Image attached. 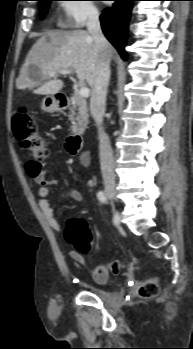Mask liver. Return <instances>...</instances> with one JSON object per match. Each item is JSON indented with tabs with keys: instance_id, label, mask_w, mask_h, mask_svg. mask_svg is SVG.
Here are the masks:
<instances>
[{
	"instance_id": "obj_1",
	"label": "liver",
	"mask_w": 193,
	"mask_h": 349,
	"mask_svg": "<svg viewBox=\"0 0 193 349\" xmlns=\"http://www.w3.org/2000/svg\"><path fill=\"white\" fill-rule=\"evenodd\" d=\"M112 53L109 45L110 58ZM100 56L94 38L86 30L49 31L32 46L16 86L20 90H34L35 94L55 95L64 83L49 74L74 68L79 82L86 81L92 88Z\"/></svg>"
}]
</instances>
